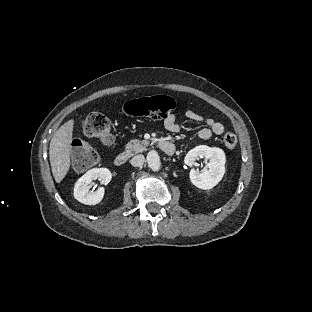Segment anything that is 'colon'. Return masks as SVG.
Instances as JSON below:
<instances>
[{
  "mask_svg": "<svg viewBox=\"0 0 312 312\" xmlns=\"http://www.w3.org/2000/svg\"><path fill=\"white\" fill-rule=\"evenodd\" d=\"M174 107L171 97L158 95L133 99L126 104L125 111L131 116L162 120L169 115ZM82 132L88 137L97 138L104 142L112 139L111 122L101 111L89 112L82 126ZM224 145L229 149L234 148L237 145L236 136L226 134ZM73 159L83 162L88 167L98 159V154L90 148L75 149Z\"/></svg>",
  "mask_w": 312,
  "mask_h": 312,
  "instance_id": "colon-1",
  "label": "colon"
}]
</instances>
